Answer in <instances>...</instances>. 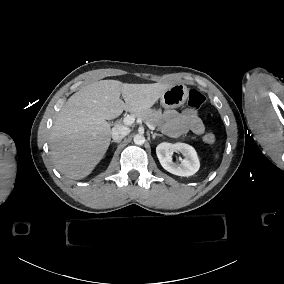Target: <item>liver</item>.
<instances>
[{
	"instance_id": "liver-1",
	"label": "liver",
	"mask_w": 284,
	"mask_h": 284,
	"mask_svg": "<svg viewBox=\"0 0 284 284\" xmlns=\"http://www.w3.org/2000/svg\"><path fill=\"white\" fill-rule=\"evenodd\" d=\"M172 86L101 80L74 93L58 113L49 138L57 170L74 180L89 176L110 146L112 130L107 120L123 111L152 108Z\"/></svg>"
}]
</instances>
